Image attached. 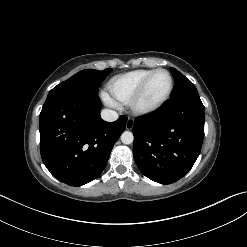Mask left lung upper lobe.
I'll use <instances>...</instances> for the list:
<instances>
[{
  "mask_svg": "<svg viewBox=\"0 0 247 247\" xmlns=\"http://www.w3.org/2000/svg\"><path fill=\"white\" fill-rule=\"evenodd\" d=\"M174 80H175V89L171 99L180 98L189 95H199L194 84L187 79L183 74H181L175 68L170 69Z\"/></svg>",
  "mask_w": 247,
  "mask_h": 247,
  "instance_id": "5c2ea615",
  "label": "left lung upper lobe"
}]
</instances>
